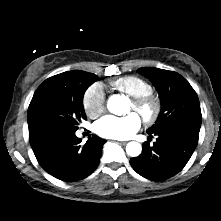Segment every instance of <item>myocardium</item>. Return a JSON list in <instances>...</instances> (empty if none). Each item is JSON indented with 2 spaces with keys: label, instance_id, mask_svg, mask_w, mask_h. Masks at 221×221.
<instances>
[{
  "label": "myocardium",
  "instance_id": "myocardium-1",
  "mask_svg": "<svg viewBox=\"0 0 221 221\" xmlns=\"http://www.w3.org/2000/svg\"><path fill=\"white\" fill-rule=\"evenodd\" d=\"M132 106L146 123L155 122L159 118L162 109L159 99L152 94L134 97Z\"/></svg>",
  "mask_w": 221,
  "mask_h": 221
}]
</instances>
